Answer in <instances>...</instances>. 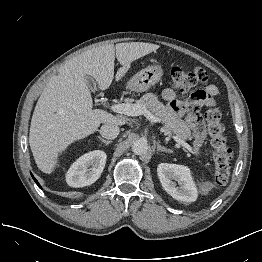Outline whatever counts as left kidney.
<instances>
[{
  "label": "left kidney",
  "mask_w": 262,
  "mask_h": 262,
  "mask_svg": "<svg viewBox=\"0 0 262 262\" xmlns=\"http://www.w3.org/2000/svg\"><path fill=\"white\" fill-rule=\"evenodd\" d=\"M157 174L164 190L174 199L194 202L198 193L190 169L183 165L161 163Z\"/></svg>",
  "instance_id": "left-kidney-1"
}]
</instances>
